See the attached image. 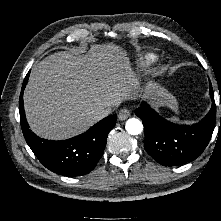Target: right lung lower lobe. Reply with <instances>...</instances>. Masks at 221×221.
<instances>
[{
	"instance_id": "98d812e1",
	"label": "right lung lower lobe",
	"mask_w": 221,
	"mask_h": 221,
	"mask_svg": "<svg viewBox=\"0 0 221 221\" xmlns=\"http://www.w3.org/2000/svg\"><path fill=\"white\" fill-rule=\"evenodd\" d=\"M28 81L26 76L19 100L21 127L27 144L49 170L64 176H79L89 173L101 158L108 133L115 126L116 115L106 117L87 132L64 141L45 140L35 135L28 127L23 107V91Z\"/></svg>"
}]
</instances>
